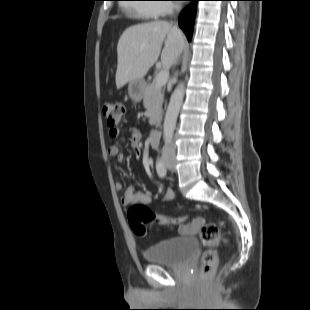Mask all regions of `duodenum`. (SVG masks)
Masks as SVG:
<instances>
[{
  "label": "duodenum",
  "mask_w": 310,
  "mask_h": 310,
  "mask_svg": "<svg viewBox=\"0 0 310 310\" xmlns=\"http://www.w3.org/2000/svg\"><path fill=\"white\" fill-rule=\"evenodd\" d=\"M161 131L160 130H154L150 133V144L153 148H159L160 145V139H161Z\"/></svg>",
  "instance_id": "obj_1"
}]
</instances>
